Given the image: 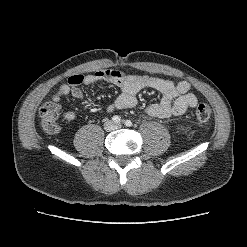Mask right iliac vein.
Listing matches in <instances>:
<instances>
[{
  "instance_id": "1",
  "label": "right iliac vein",
  "mask_w": 247,
  "mask_h": 247,
  "mask_svg": "<svg viewBox=\"0 0 247 247\" xmlns=\"http://www.w3.org/2000/svg\"><path fill=\"white\" fill-rule=\"evenodd\" d=\"M112 127H113V124H112L111 122H107V123L105 124V128H106L107 130L112 129Z\"/></svg>"
}]
</instances>
